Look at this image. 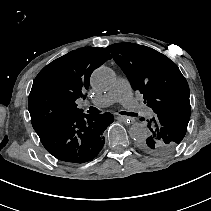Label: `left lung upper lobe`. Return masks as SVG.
I'll return each mask as SVG.
<instances>
[{"label": "left lung upper lobe", "instance_id": "5c2ea615", "mask_svg": "<svg viewBox=\"0 0 211 211\" xmlns=\"http://www.w3.org/2000/svg\"><path fill=\"white\" fill-rule=\"evenodd\" d=\"M107 50L154 112L147 120L152 134L142 149L160 155L177 148L191 115L189 86L177 65L158 51L134 43H116Z\"/></svg>", "mask_w": 211, "mask_h": 211}]
</instances>
